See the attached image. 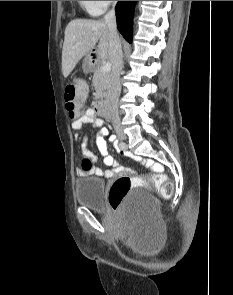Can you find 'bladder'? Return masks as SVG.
<instances>
[{
    "label": "bladder",
    "mask_w": 233,
    "mask_h": 295,
    "mask_svg": "<svg viewBox=\"0 0 233 295\" xmlns=\"http://www.w3.org/2000/svg\"><path fill=\"white\" fill-rule=\"evenodd\" d=\"M105 182L96 177H80L75 183L77 202L91 210L104 212L106 209L104 194ZM157 198L147 191H139L134 198L125 205L124 212L132 214L143 221H153L159 214Z\"/></svg>",
    "instance_id": "1"
}]
</instances>
